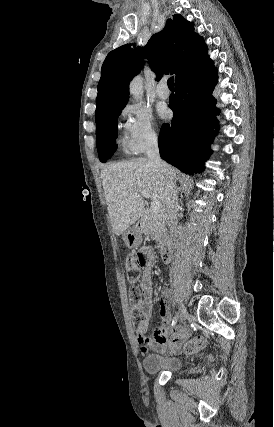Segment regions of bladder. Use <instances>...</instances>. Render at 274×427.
<instances>
[{
    "mask_svg": "<svg viewBox=\"0 0 274 427\" xmlns=\"http://www.w3.org/2000/svg\"><path fill=\"white\" fill-rule=\"evenodd\" d=\"M180 367V356H163L153 353L147 354L143 360V368L146 374L173 373Z\"/></svg>",
    "mask_w": 274,
    "mask_h": 427,
    "instance_id": "obj_1",
    "label": "bladder"
}]
</instances>
